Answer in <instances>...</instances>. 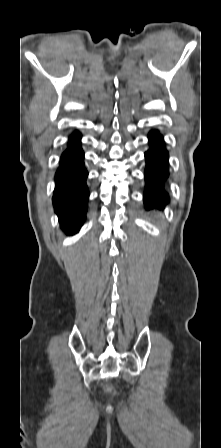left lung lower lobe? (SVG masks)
I'll return each mask as SVG.
<instances>
[{
    "mask_svg": "<svg viewBox=\"0 0 221 448\" xmlns=\"http://www.w3.org/2000/svg\"><path fill=\"white\" fill-rule=\"evenodd\" d=\"M150 149L145 153V193L147 209L163 208L168 202V194L163 188V180L168 177V153L163 138L156 131L149 134Z\"/></svg>",
    "mask_w": 221,
    "mask_h": 448,
    "instance_id": "0a47b994",
    "label": "left lung lower lobe"
}]
</instances>
